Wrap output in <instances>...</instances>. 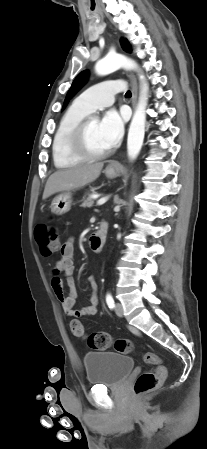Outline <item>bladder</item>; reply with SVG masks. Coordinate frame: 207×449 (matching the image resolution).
I'll list each match as a JSON object with an SVG mask.
<instances>
[{"mask_svg": "<svg viewBox=\"0 0 207 449\" xmlns=\"http://www.w3.org/2000/svg\"><path fill=\"white\" fill-rule=\"evenodd\" d=\"M83 362L91 386H118L135 368L133 358L110 351L87 352Z\"/></svg>", "mask_w": 207, "mask_h": 449, "instance_id": "31cf9c89", "label": "bladder"}]
</instances>
